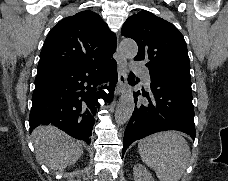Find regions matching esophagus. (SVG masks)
Masks as SVG:
<instances>
[{"label": "esophagus", "mask_w": 228, "mask_h": 181, "mask_svg": "<svg viewBox=\"0 0 228 181\" xmlns=\"http://www.w3.org/2000/svg\"><path fill=\"white\" fill-rule=\"evenodd\" d=\"M117 71H118V81L115 88L116 96L121 95L128 87L127 62H126V59L119 53V51H118V59H117Z\"/></svg>", "instance_id": "esophagus-1"}]
</instances>
